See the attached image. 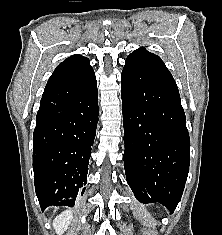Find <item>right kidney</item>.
<instances>
[{"instance_id":"ca27d5eb","label":"right kidney","mask_w":222,"mask_h":235,"mask_svg":"<svg viewBox=\"0 0 222 235\" xmlns=\"http://www.w3.org/2000/svg\"><path fill=\"white\" fill-rule=\"evenodd\" d=\"M73 218V213L70 210L63 211L53 221V227L57 235H62L67 230Z\"/></svg>"}]
</instances>
